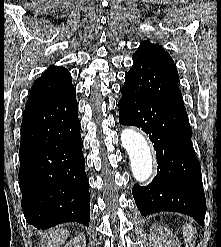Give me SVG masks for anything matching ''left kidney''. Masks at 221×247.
Here are the masks:
<instances>
[{"instance_id":"left-kidney-1","label":"left kidney","mask_w":221,"mask_h":247,"mask_svg":"<svg viewBox=\"0 0 221 247\" xmlns=\"http://www.w3.org/2000/svg\"><path fill=\"white\" fill-rule=\"evenodd\" d=\"M150 237L153 247H181L177 237L165 226L153 224L150 229Z\"/></svg>"}]
</instances>
